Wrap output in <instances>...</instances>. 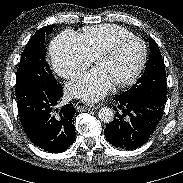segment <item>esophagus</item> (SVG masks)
<instances>
[{
	"mask_svg": "<svg viewBox=\"0 0 183 183\" xmlns=\"http://www.w3.org/2000/svg\"><path fill=\"white\" fill-rule=\"evenodd\" d=\"M75 108L78 112H83L85 110H94L96 108V106L91 105V104H87L83 101H79V102L76 103Z\"/></svg>",
	"mask_w": 183,
	"mask_h": 183,
	"instance_id": "esophagus-1",
	"label": "esophagus"
}]
</instances>
